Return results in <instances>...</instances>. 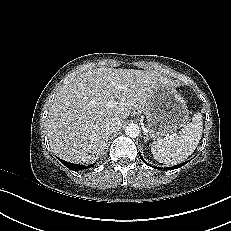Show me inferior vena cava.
I'll return each mask as SVG.
<instances>
[{"label": "inferior vena cava", "instance_id": "inferior-vena-cava-1", "mask_svg": "<svg viewBox=\"0 0 231 231\" xmlns=\"http://www.w3.org/2000/svg\"><path fill=\"white\" fill-rule=\"evenodd\" d=\"M120 128H121V125L119 122H112L106 125V131L109 134L116 133Z\"/></svg>", "mask_w": 231, "mask_h": 231}]
</instances>
